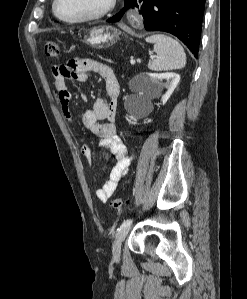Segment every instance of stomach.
<instances>
[{
    "mask_svg": "<svg viewBox=\"0 0 247 299\" xmlns=\"http://www.w3.org/2000/svg\"><path fill=\"white\" fill-rule=\"evenodd\" d=\"M120 31L111 26H95L84 36V43L96 49L108 48L119 40Z\"/></svg>",
    "mask_w": 247,
    "mask_h": 299,
    "instance_id": "1",
    "label": "stomach"
}]
</instances>
